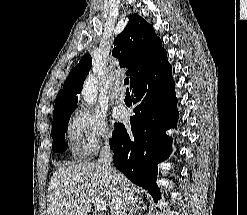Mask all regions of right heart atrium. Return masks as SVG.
Here are the masks:
<instances>
[{"label": "right heart atrium", "mask_w": 247, "mask_h": 215, "mask_svg": "<svg viewBox=\"0 0 247 215\" xmlns=\"http://www.w3.org/2000/svg\"><path fill=\"white\" fill-rule=\"evenodd\" d=\"M68 131L77 153L81 156L94 153L107 145L112 138L105 114L88 107H81L74 112L68 124Z\"/></svg>", "instance_id": "right-heart-atrium-1"}]
</instances>
